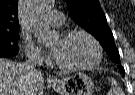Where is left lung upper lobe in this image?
Here are the masks:
<instances>
[{
	"label": "left lung upper lobe",
	"mask_w": 135,
	"mask_h": 95,
	"mask_svg": "<svg viewBox=\"0 0 135 95\" xmlns=\"http://www.w3.org/2000/svg\"><path fill=\"white\" fill-rule=\"evenodd\" d=\"M66 2L73 20L91 33L101 43L112 61L119 64V52L99 0H66ZM118 67L124 70L122 66Z\"/></svg>",
	"instance_id": "left-lung-upper-lobe-1"
}]
</instances>
